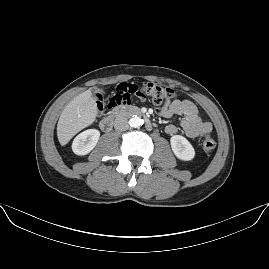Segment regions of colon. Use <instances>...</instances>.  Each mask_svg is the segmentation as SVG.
<instances>
[{
	"label": "colon",
	"mask_w": 269,
	"mask_h": 269,
	"mask_svg": "<svg viewBox=\"0 0 269 269\" xmlns=\"http://www.w3.org/2000/svg\"><path fill=\"white\" fill-rule=\"evenodd\" d=\"M108 97L106 101L114 99L117 105L123 103H144L150 102L154 105H164L175 99L174 91L167 86H162L154 82H128L126 84H116L107 89ZM92 97L96 101L103 99L104 94L100 90L93 92ZM202 148L206 153H211L216 148V142L210 135H205L202 139Z\"/></svg>",
	"instance_id": "obj_1"
}]
</instances>
